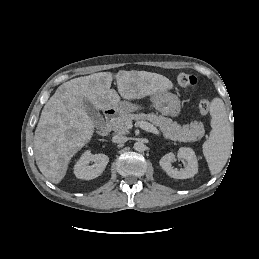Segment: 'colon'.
<instances>
[{
	"mask_svg": "<svg viewBox=\"0 0 259 259\" xmlns=\"http://www.w3.org/2000/svg\"><path fill=\"white\" fill-rule=\"evenodd\" d=\"M178 84L183 88L193 87L197 84V78L189 73L181 72L177 77ZM199 112L202 115H206L210 108V102L207 98L203 97L199 101Z\"/></svg>",
	"mask_w": 259,
	"mask_h": 259,
	"instance_id": "colon-1",
	"label": "colon"
}]
</instances>
